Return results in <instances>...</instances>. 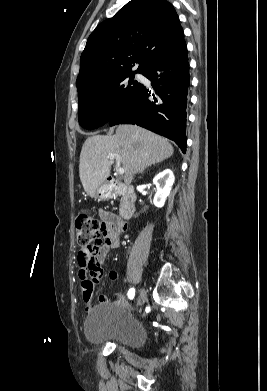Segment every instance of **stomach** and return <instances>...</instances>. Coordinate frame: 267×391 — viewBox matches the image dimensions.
Listing matches in <instances>:
<instances>
[{
	"instance_id": "stomach-1",
	"label": "stomach",
	"mask_w": 267,
	"mask_h": 391,
	"mask_svg": "<svg viewBox=\"0 0 267 391\" xmlns=\"http://www.w3.org/2000/svg\"><path fill=\"white\" fill-rule=\"evenodd\" d=\"M112 187L108 183L101 184L95 191L94 198L98 200H105L112 195Z\"/></svg>"
}]
</instances>
